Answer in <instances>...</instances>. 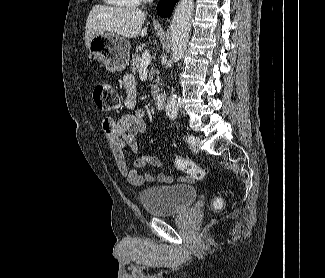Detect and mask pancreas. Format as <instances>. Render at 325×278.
Here are the masks:
<instances>
[{
  "label": "pancreas",
  "mask_w": 325,
  "mask_h": 278,
  "mask_svg": "<svg viewBox=\"0 0 325 278\" xmlns=\"http://www.w3.org/2000/svg\"><path fill=\"white\" fill-rule=\"evenodd\" d=\"M140 62H141V57L139 54L134 53L132 55V60H131V65H132V72L134 74L139 73L141 66H140ZM149 72V77L151 79H153L154 74L157 72L154 69H151L148 71ZM158 86H159V78L157 77L155 79V84L152 86V96H155L157 90H158Z\"/></svg>",
  "instance_id": "1"
}]
</instances>
